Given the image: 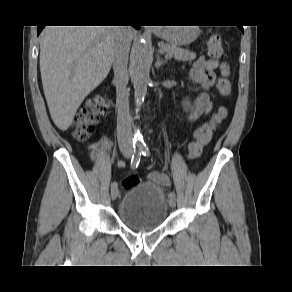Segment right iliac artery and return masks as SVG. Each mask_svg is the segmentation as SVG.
<instances>
[{
  "instance_id": "1",
  "label": "right iliac artery",
  "mask_w": 292,
  "mask_h": 292,
  "mask_svg": "<svg viewBox=\"0 0 292 292\" xmlns=\"http://www.w3.org/2000/svg\"><path fill=\"white\" fill-rule=\"evenodd\" d=\"M141 156H142V151H141V148H135L134 149V153H133V156L131 158V168L134 169V168H137V166L139 165V162L141 160ZM111 188L112 189H115L117 188V183L116 182H113L111 184Z\"/></svg>"
}]
</instances>
